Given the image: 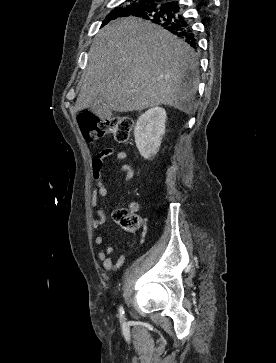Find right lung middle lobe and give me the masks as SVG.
I'll list each match as a JSON object with an SVG mask.
<instances>
[{"mask_svg":"<svg viewBox=\"0 0 276 363\" xmlns=\"http://www.w3.org/2000/svg\"><path fill=\"white\" fill-rule=\"evenodd\" d=\"M159 1L160 0H128L127 4H124L121 7H116L111 11L103 21V25L118 17L136 15L159 4Z\"/></svg>","mask_w":276,"mask_h":363,"instance_id":"obj_1","label":"right lung middle lobe"}]
</instances>
